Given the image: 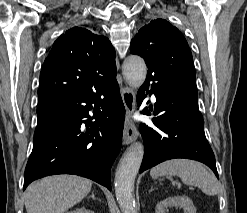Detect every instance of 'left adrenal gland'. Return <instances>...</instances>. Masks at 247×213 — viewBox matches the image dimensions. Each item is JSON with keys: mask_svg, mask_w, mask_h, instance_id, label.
Here are the masks:
<instances>
[{"mask_svg": "<svg viewBox=\"0 0 247 213\" xmlns=\"http://www.w3.org/2000/svg\"><path fill=\"white\" fill-rule=\"evenodd\" d=\"M156 188H154L152 185H151V188H150V190H149V192H151V191H153V190H155Z\"/></svg>", "mask_w": 247, "mask_h": 213, "instance_id": "left-adrenal-gland-1", "label": "left adrenal gland"}]
</instances>
